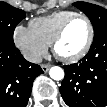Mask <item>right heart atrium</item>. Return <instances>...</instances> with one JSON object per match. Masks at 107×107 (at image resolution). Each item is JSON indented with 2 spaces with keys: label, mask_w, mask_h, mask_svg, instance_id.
Segmentation results:
<instances>
[{
  "label": "right heart atrium",
  "mask_w": 107,
  "mask_h": 107,
  "mask_svg": "<svg viewBox=\"0 0 107 107\" xmlns=\"http://www.w3.org/2000/svg\"><path fill=\"white\" fill-rule=\"evenodd\" d=\"M13 38L16 46L32 62H39L48 51V45L39 39L30 27L18 25Z\"/></svg>",
  "instance_id": "1"
}]
</instances>
